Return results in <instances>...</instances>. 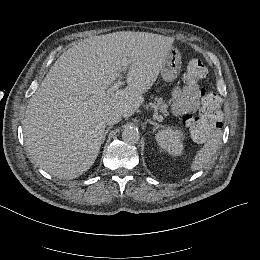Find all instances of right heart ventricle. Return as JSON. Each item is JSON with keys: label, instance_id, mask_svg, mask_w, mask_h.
<instances>
[{"label": "right heart ventricle", "instance_id": "1", "mask_svg": "<svg viewBox=\"0 0 260 260\" xmlns=\"http://www.w3.org/2000/svg\"><path fill=\"white\" fill-rule=\"evenodd\" d=\"M116 53V64L114 66H102L95 64L90 66V76L94 83L105 85L110 82L121 71V67L127 58H132L140 54H147L152 58L151 50H114Z\"/></svg>", "mask_w": 260, "mask_h": 260}]
</instances>
